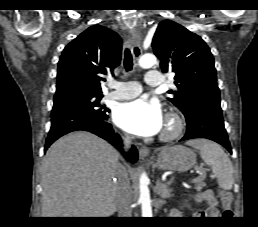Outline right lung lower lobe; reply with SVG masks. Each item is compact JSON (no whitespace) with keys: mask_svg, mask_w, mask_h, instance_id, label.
Segmentation results:
<instances>
[{"mask_svg":"<svg viewBox=\"0 0 258 227\" xmlns=\"http://www.w3.org/2000/svg\"><path fill=\"white\" fill-rule=\"evenodd\" d=\"M51 129L45 143V151L61 136L76 130L89 131L110 142L122 151L120 136L115 133L107 119H98L92 115L75 109H60L52 111ZM125 158L130 162H136L137 150L133 146L131 151L124 153Z\"/></svg>","mask_w":258,"mask_h":227,"instance_id":"1","label":"right lung lower lobe"}]
</instances>
